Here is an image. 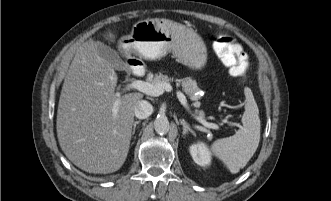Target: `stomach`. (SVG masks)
<instances>
[{
	"mask_svg": "<svg viewBox=\"0 0 331 201\" xmlns=\"http://www.w3.org/2000/svg\"><path fill=\"white\" fill-rule=\"evenodd\" d=\"M120 47L147 60L172 53L192 69L202 68L207 60L206 46L191 29L168 19H146L136 22L129 35L121 37Z\"/></svg>",
	"mask_w": 331,
	"mask_h": 201,
	"instance_id": "0dacf381",
	"label": "stomach"
}]
</instances>
